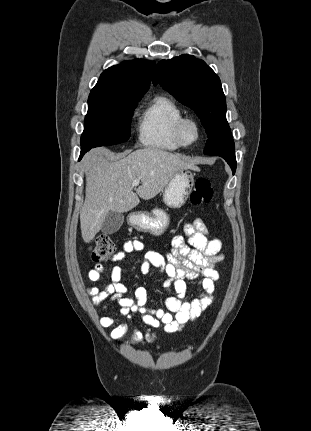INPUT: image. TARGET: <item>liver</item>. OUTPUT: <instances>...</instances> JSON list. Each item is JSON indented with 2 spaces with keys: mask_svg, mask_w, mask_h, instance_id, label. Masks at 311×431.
I'll list each match as a JSON object with an SVG mask.
<instances>
[{
  "mask_svg": "<svg viewBox=\"0 0 311 431\" xmlns=\"http://www.w3.org/2000/svg\"><path fill=\"white\" fill-rule=\"evenodd\" d=\"M107 152L105 148H94L82 160L86 196L80 225L86 243L100 231L109 212H130L140 204V198L152 200L163 192L179 170H198L191 158H180L159 148L127 150L126 154L114 156V162L104 158ZM133 180L141 182L136 194L131 186Z\"/></svg>",
  "mask_w": 311,
  "mask_h": 431,
  "instance_id": "liver-1",
  "label": "liver"
}]
</instances>
